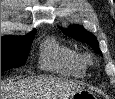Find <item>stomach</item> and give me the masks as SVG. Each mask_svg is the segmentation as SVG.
I'll use <instances>...</instances> for the list:
<instances>
[{"instance_id":"stomach-1","label":"stomach","mask_w":115,"mask_h":99,"mask_svg":"<svg viewBox=\"0 0 115 99\" xmlns=\"http://www.w3.org/2000/svg\"><path fill=\"white\" fill-rule=\"evenodd\" d=\"M95 98L94 94L89 90L81 89L71 94L69 99H92Z\"/></svg>"}]
</instances>
